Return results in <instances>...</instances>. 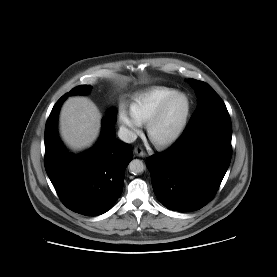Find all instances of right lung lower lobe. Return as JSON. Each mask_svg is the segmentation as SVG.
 <instances>
[{"label":"right lung lower lobe","instance_id":"1","mask_svg":"<svg viewBox=\"0 0 277 277\" xmlns=\"http://www.w3.org/2000/svg\"><path fill=\"white\" fill-rule=\"evenodd\" d=\"M63 101H57L46 122L45 169L67 208L87 216L101 215L122 193L125 169L133 159L131 146L115 138L113 121L106 117L93 148L79 155L68 152L57 133Z\"/></svg>","mask_w":277,"mask_h":277}]
</instances>
